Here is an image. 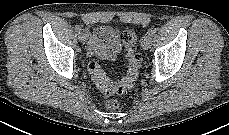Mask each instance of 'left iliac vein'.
<instances>
[{"label": "left iliac vein", "instance_id": "1", "mask_svg": "<svg viewBox=\"0 0 229 135\" xmlns=\"http://www.w3.org/2000/svg\"><path fill=\"white\" fill-rule=\"evenodd\" d=\"M152 45V38L149 35H145L141 40V46L143 49H149Z\"/></svg>", "mask_w": 229, "mask_h": 135}]
</instances>
